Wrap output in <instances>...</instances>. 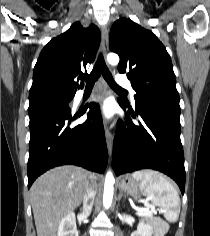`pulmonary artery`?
Masks as SVG:
<instances>
[{"label": "pulmonary artery", "instance_id": "obj_1", "mask_svg": "<svg viewBox=\"0 0 210 236\" xmlns=\"http://www.w3.org/2000/svg\"><path fill=\"white\" fill-rule=\"evenodd\" d=\"M116 82L119 86L129 89L132 95L134 94V90L131 87L130 81L126 77L119 75L116 77ZM83 94L84 91H80L78 96L81 97Z\"/></svg>", "mask_w": 210, "mask_h": 236}]
</instances>
